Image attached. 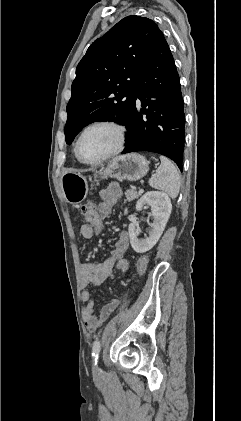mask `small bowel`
I'll return each mask as SVG.
<instances>
[{"mask_svg":"<svg viewBox=\"0 0 241 421\" xmlns=\"http://www.w3.org/2000/svg\"><path fill=\"white\" fill-rule=\"evenodd\" d=\"M121 196L122 191L120 187L115 184L110 185L100 192V203L97 207V213L101 219H105L111 214L113 207ZM80 234L84 239L93 238L92 228L88 224L81 225ZM128 248V233L121 232L108 258L102 262H86L81 265V298L85 302L82 318L89 331L96 330L108 319L110 314L117 307L118 301H111L101 309L98 315H96L95 304L91 299L87 288L90 284L95 286L101 285L111 275L116 262L123 258Z\"/></svg>","mask_w":241,"mask_h":421,"instance_id":"1","label":"small bowel"}]
</instances>
